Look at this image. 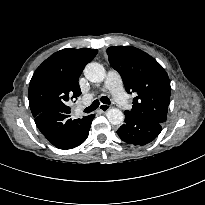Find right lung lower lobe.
I'll return each mask as SVG.
<instances>
[{
  "instance_id": "98d812e1",
  "label": "right lung lower lobe",
  "mask_w": 205,
  "mask_h": 205,
  "mask_svg": "<svg viewBox=\"0 0 205 205\" xmlns=\"http://www.w3.org/2000/svg\"><path fill=\"white\" fill-rule=\"evenodd\" d=\"M65 113L49 109L35 117V123L42 134L60 149H71L85 141L94 114L72 120Z\"/></svg>"
}]
</instances>
